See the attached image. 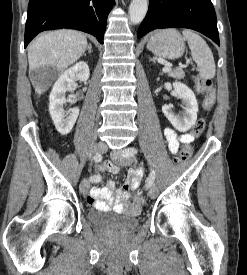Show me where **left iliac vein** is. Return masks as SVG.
Here are the masks:
<instances>
[{
  "instance_id": "1",
  "label": "left iliac vein",
  "mask_w": 247,
  "mask_h": 275,
  "mask_svg": "<svg viewBox=\"0 0 247 275\" xmlns=\"http://www.w3.org/2000/svg\"><path fill=\"white\" fill-rule=\"evenodd\" d=\"M132 148L131 147H127L125 149H123L122 151H114L112 152L111 154V158L112 160L117 163L118 165H121V166H126V165H129L131 163V159L129 157H126L125 154L127 152H129ZM157 192H158V189H157V186L156 185H152L149 189V195L151 198H154L156 197L157 195Z\"/></svg>"
}]
</instances>
